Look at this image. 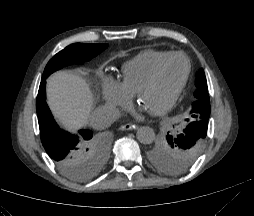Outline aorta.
Instances as JSON below:
<instances>
[{
	"label": "aorta",
	"instance_id": "762f6f07",
	"mask_svg": "<svg viewBox=\"0 0 254 216\" xmlns=\"http://www.w3.org/2000/svg\"><path fill=\"white\" fill-rule=\"evenodd\" d=\"M136 137L142 144H151L155 139V132L149 126H142L138 128Z\"/></svg>",
	"mask_w": 254,
	"mask_h": 216
}]
</instances>
